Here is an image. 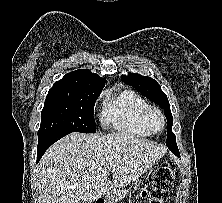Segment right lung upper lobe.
Segmentation results:
<instances>
[{
	"label": "right lung upper lobe",
	"instance_id": "obj_1",
	"mask_svg": "<svg viewBox=\"0 0 222 203\" xmlns=\"http://www.w3.org/2000/svg\"><path fill=\"white\" fill-rule=\"evenodd\" d=\"M105 82L106 79L99 77L90 70L81 69L64 75L61 80L54 83L51 89L102 91Z\"/></svg>",
	"mask_w": 222,
	"mask_h": 203
}]
</instances>
